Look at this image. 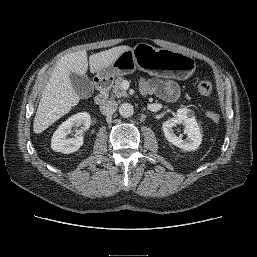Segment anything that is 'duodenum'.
Segmentation results:
<instances>
[{
	"mask_svg": "<svg viewBox=\"0 0 257 257\" xmlns=\"http://www.w3.org/2000/svg\"><path fill=\"white\" fill-rule=\"evenodd\" d=\"M110 82L111 80L109 78L96 79V86L98 89V93L95 97L96 104H103L107 100Z\"/></svg>",
	"mask_w": 257,
	"mask_h": 257,
	"instance_id": "1",
	"label": "duodenum"
}]
</instances>
